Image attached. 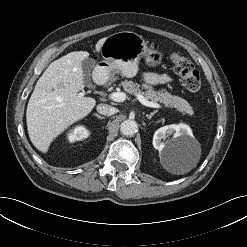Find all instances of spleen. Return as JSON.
<instances>
[{
    "instance_id": "obj_1",
    "label": "spleen",
    "mask_w": 247,
    "mask_h": 247,
    "mask_svg": "<svg viewBox=\"0 0 247 247\" xmlns=\"http://www.w3.org/2000/svg\"><path fill=\"white\" fill-rule=\"evenodd\" d=\"M187 171H189V169H187V170H180V171H178L177 173H178V174H183V173H185V172H187Z\"/></svg>"
}]
</instances>
